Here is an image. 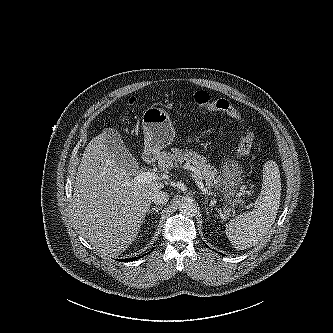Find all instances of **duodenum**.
<instances>
[{
	"mask_svg": "<svg viewBox=\"0 0 333 333\" xmlns=\"http://www.w3.org/2000/svg\"><path fill=\"white\" fill-rule=\"evenodd\" d=\"M144 163L149 165L155 161V153L152 151H148L144 154Z\"/></svg>",
	"mask_w": 333,
	"mask_h": 333,
	"instance_id": "obj_1",
	"label": "duodenum"
}]
</instances>
